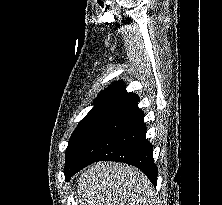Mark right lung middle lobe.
Here are the masks:
<instances>
[{
    "label": "right lung middle lobe",
    "mask_w": 222,
    "mask_h": 205,
    "mask_svg": "<svg viewBox=\"0 0 222 205\" xmlns=\"http://www.w3.org/2000/svg\"><path fill=\"white\" fill-rule=\"evenodd\" d=\"M107 112H91L78 124L74 130L66 149L65 169L73 162L83 143L96 127V125L105 117Z\"/></svg>",
    "instance_id": "obj_1"
}]
</instances>
